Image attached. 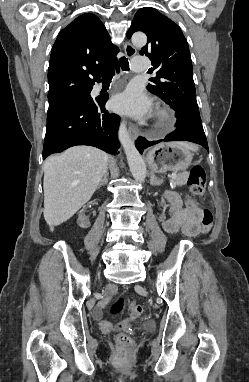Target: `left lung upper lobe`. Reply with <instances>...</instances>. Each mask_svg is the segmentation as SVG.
I'll return each instance as SVG.
<instances>
[{
  "mask_svg": "<svg viewBox=\"0 0 249 382\" xmlns=\"http://www.w3.org/2000/svg\"><path fill=\"white\" fill-rule=\"evenodd\" d=\"M143 31L148 42L140 54L152 61L147 89L169 104L177 115L199 114L188 43L176 23L154 8L144 7L134 16L127 37Z\"/></svg>",
  "mask_w": 249,
  "mask_h": 382,
  "instance_id": "left-lung-upper-lobe-1",
  "label": "left lung upper lobe"
}]
</instances>
